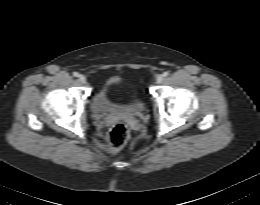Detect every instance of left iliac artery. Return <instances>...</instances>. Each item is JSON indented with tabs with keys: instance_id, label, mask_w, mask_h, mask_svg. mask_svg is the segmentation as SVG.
<instances>
[{
	"instance_id": "left-iliac-artery-1",
	"label": "left iliac artery",
	"mask_w": 260,
	"mask_h": 205,
	"mask_svg": "<svg viewBox=\"0 0 260 205\" xmlns=\"http://www.w3.org/2000/svg\"><path fill=\"white\" fill-rule=\"evenodd\" d=\"M168 75H169V72H167V71L163 73L164 77H167Z\"/></svg>"
}]
</instances>
